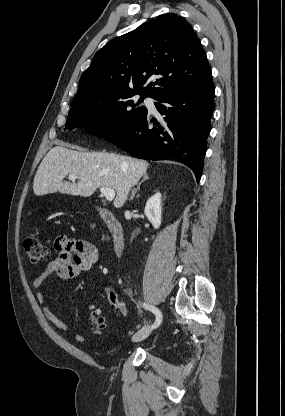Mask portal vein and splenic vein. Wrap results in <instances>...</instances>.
Wrapping results in <instances>:
<instances>
[{
	"mask_svg": "<svg viewBox=\"0 0 285 416\" xmlns=\"http://www.w3.org/2000/svg\"><path fill=\"white\" fill-rule=\"evenodd\" d=\"M69 180H72V182H74V180H76V176L75 174H69ZM100 192L101 194H103V196H105L106 200H108V202H112V200H114L115 198V190H112V188H100Z\"/></svg>",
	"mask_w": 285,
	"mask_h": 416,
	"instance_id": "portal-vein-and-splenic-vein-1",
	"label": "portal vein and splenic vein"
}]
</instances>
